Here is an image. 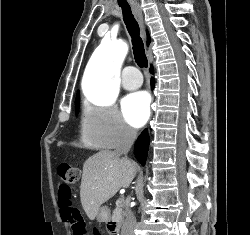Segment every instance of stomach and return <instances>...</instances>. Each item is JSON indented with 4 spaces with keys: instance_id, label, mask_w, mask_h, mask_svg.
I'll return each instance as SVG.
<instances>
[{
    "instance_id": "obj_1",
    "label": "stomach",
    "mask_w": 250,
    "mask_h": 235,
    "mask_svg": "<svg viewBox=\"0 0 250 235\" xmlns=\"http://www.w3.org/2000/svg\"><path fill=\"white\" fill-rule=\"evenodd\" d=\"M109 219V211L106 207L99 208L97 213V221L98 222H106Z\"/></svg>"
}]
</instances>
